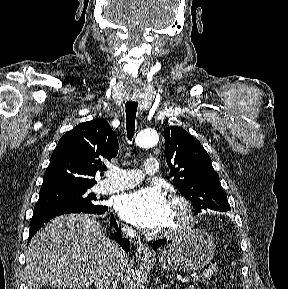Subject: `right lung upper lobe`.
<instances>
[{"mask_svg":"<svg viewBox=\"0 0 288 289\" xmlns=\"http://www.w3.org/2000/svg\"><path fill=\"white\" fill-rule=\"evenodd\" d=\"M118 153V140L106 120L77 125L58 142L44 173L41 189L86 188L95 185L96 171Z\"/></svg>","mask_w":288,"mask_h":289,"instance_id":"right-lung-upper-lobe-1","label":"right lung upper lobe"}]
</instances>
